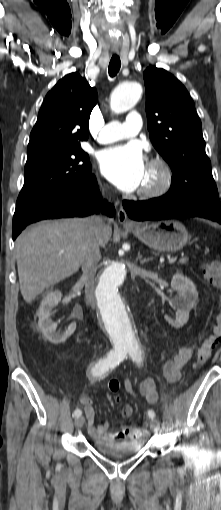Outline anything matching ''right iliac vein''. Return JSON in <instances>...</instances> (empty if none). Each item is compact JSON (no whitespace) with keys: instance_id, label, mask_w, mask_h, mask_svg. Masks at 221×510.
<instances>
[{"instance_id":"obj_1","label":"right iliac vein","mask_w":221,"mask_h":510,"mask_svg":"<svg viewBox=\"0 0 221 510\" xmlns=\"http://www.w3.org/2000/svg\"><path fill=\"white\" fill-rule=\"evenodd\" d=\"M85 422V417L84 416H79L78 418L75 419V426L76 428H80L83 426Z\"/></svg>"}]
</instances>
